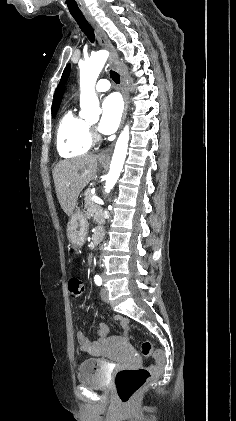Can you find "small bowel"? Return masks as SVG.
<instances>
[{
	"mask_svg": "<svg viewBox=\"0 0 236 421\" xmlns=\"http://www.w3.org/2000/svg\"><path fill=\"white\" fill-rule=\"evenodd\" d=\"M100 331H105L107 333V327L105 325H101L100 329H99V332Z\"/></svg>",
	"mask_w": 236,
	"mask_h": 421,
	"instance_id": "1",
	"label": "small bowel"
}]
</instances>
